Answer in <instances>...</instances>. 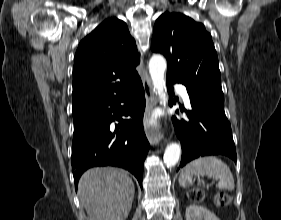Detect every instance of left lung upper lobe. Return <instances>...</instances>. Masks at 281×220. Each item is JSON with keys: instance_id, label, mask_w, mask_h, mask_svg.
Here are the masks:
<instances>
[{"instance_id": "obj_1", "label": "left lung upper lobe", "mask_w": 281, "mask_h": 220, "mask_svg": "<svg viewBox=\"0 0 281 220\" xmlns=\"http://www.w3.org/2000/svg\"><path fill=\"white\" fill-rule=\"evenodd\" d=\"M151 49L166 57L167 80L224 102L218 57L203 24L181 13L165 12L155 22Z\"/></svg>"}]
</instances>
